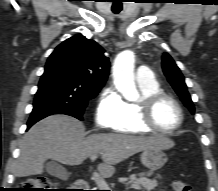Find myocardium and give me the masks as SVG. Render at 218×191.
I'll return each instance as SVG.
<instances>
[{
	"label": "myocardium",
	"mask_w": 218,
	"mask_h": 191,
	"mask_svg": "<svg viewBox=\"0 0 218 191\" xmlns=\"http://www.w3.org/2000/svg\"><path fill=\"white\" fill-rule=\"evenodd\" d=\"M163 99H167L171 101L179 112V123L176 127L172 129H162L157 126L154 120V109L157 103ZM139 112H140V120L141 123L150 131H154L157 133L171 135L176 133L181 129L184 123V110L180 102L170 94H167L162 91H157L154 93H150L144 95L139 100Z\"/></svg>",
	"instance_id": "myocardium-1"
}]
</instances>
